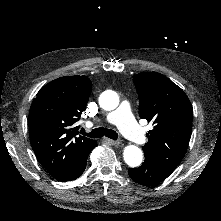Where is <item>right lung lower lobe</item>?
<instances>
[{"label": "right lung lower lobe", "instance_id": "right-lung-lower-lobe-1", "mask_svg": "<svg viewBox=\"0 0 221 221\" xmlns=\"http://www.w3.org/2000/svg\"><path fill=\"white\" fill-rule=\"evenodd\" d=\"M96 146H97V143L94 146V148ZM88 155L81 161L80 164H78V166L73 171H71L68 174H66L64 177L59 179V181H68V180H74V179L78 178L84 172V170L86 168Z\"/></svg>", "mask_w": 221, "mask_h": 221}]
</instances>
